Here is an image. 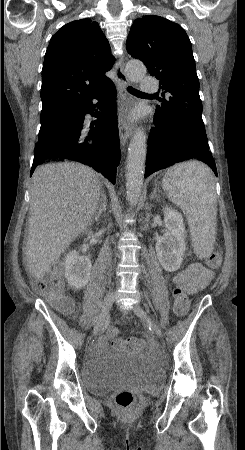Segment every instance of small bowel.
<instances>
[{"label":"small bowel","mask_w":245,"mask_h":450,"mask_svg":"<svg viewBox=\"0 0 245 450\" xmlns=\"http://www.w3.org/2000/svg\"><path fill=\"white\" fill-rule=\"evenodd\" d=\"M212 270L201 264L195 263L188 266L185 270L179 272L174 277V282L181 286L186 292L192 293L205 288L213 279ZM108 343L106 337L99 340V347H105Z\"/></svg>","instance_id":"small-bowel-1"}]
</instances>
